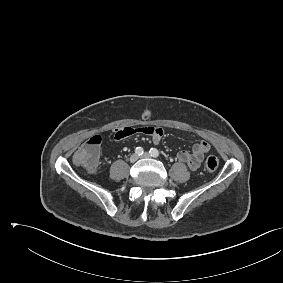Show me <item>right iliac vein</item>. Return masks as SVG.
I'll return each instance as SVG.
<instances>
[{
    "label": "right iliac vein",
    "instance_id": "63e3f726",
    "mask_svg": "<svg viewBox=\"0 0 283 283\" xmlns=\"http://www.w3.org/2000/svg\"><path fill=\"white\" fill-rule=\"evenodd\" d=\"M139 156L137 154H132L130 156V162L134 163L138 160Z\"/></svg>",
    "mask_w": 283,
    "mask_h": 283
}]
</instances>
